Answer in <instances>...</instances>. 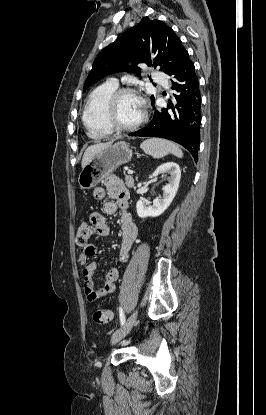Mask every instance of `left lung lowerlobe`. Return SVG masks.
<instances>
[{"label":"left lung lower lobe","instance_id":"obj_1","mask_svg":"<svg viewBox=\"0 0 266 415\" xmlns=\"http://www.w3.org/2000/svg\"><path fill=\"white\" fill-rule=\"evenodd\" d=\"M171 88L176 91L174 101L155 111L150 123L130 136L159 137L185 147L197 162L200 143L201 94L194 64L185 57L171 75Z\"/></svg>","mask_w":266,"mask_h":415}]
</instances>
